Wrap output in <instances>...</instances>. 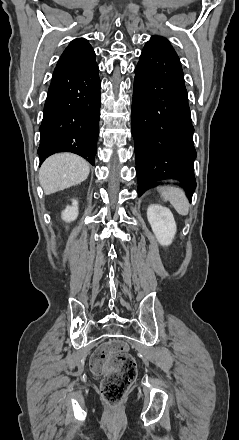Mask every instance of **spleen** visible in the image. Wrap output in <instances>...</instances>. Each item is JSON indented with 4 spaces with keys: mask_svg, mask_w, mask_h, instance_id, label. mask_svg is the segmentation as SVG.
<instances>
[{
    "mask_svg": "<svg viewBox=\"0 0 239 440\" xmlns=\"http://www.w3.org/2000/svg\"><path fill=\"white\" fill-rule=\"evenodd\" d=\"M157 190L161 192L164 202H170L180 216H187L189 212V202L182 188H176V186H159Z\"/></svg>",
    "mask_w": 239,
    "mask_h": 440,
    "instance_id": "spleen-1",
    "label": "spleen"
}]
</instances>
